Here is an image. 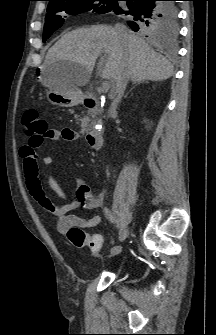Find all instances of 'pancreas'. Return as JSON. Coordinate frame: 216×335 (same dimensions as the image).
I'll use <instances>...</instances> for the list:
<instances>
[{
  "mask_svg": "<svg viewBox=\"0 0 216 335\" xmlns=\"http://www.w3.org/2000/svg\"><path fill=\"white\" fill-rule=\"evenodd\" d=\"M81 122V133L84 134L90 130V119L86 116L81 120Z\"/></svg>",
  "mask_w": 216,
  "mask_h": 335,
  "instance_id": "obj_1",
  "label": "pancreas"
}]
</instances>
